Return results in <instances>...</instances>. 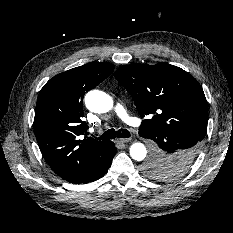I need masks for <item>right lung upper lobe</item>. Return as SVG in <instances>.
<instances>
[{"instance_id": "1", "label": "right lung upper lobe", "mask_w": 233, "mask_h": 233, "mask_svg": "<svg viewBox=\"0 0 233 233\" xmlns=\"http://www.w3.org/2000/svg\"><path fill=\"white\" fill-rule=\"evenodd\" d=\"M114 67L87 63L54 76L39 93L34 133L44 159L60 177L109 142L87 136L81 140L79 136L88 129L82 121L84 94L106 79Z\"/></svg>"}]
</instances>
